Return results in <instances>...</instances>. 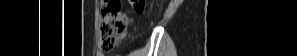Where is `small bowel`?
Instances as JSON below:
<instances>
[{
	"label": "small bowel",
	"mask_w": 297,
	"mask_h": 56,
	"mask_svg": "<svg viewBox=\"0 0 297 56\" xmlns=\"http://www.w3.org/2000/svg\"><path fill=\"white\" fill-rule=\"evenodd\" d=\"M103 54H98V56H102Z\"/></svg>",
	"instance_id": "1"
}]
</instances>
